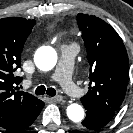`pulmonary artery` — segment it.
Returning a JSON list of instances; mask_svg holds the SVG:
<instances>
[{
  "mask_svg": "<svg viewBox=\"0 0 133 133\" xmlns=\"http://www.w3.org/2000/svg\"><path fill=\"white\" fill-rule=\"evenodd\" d=\"M77 52V45H63L57 67L49 77L51 81L58 82L64 91L72 97H78L81 93L80 88L72 80V70Z\"/></svg>",
  "mask_w": 133,
  "mask_h": 133,
  "instance_id": "e3ab8cb5",
  "label": "pulmonary artery"
}]
</instances>
